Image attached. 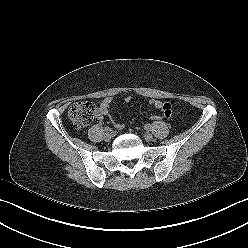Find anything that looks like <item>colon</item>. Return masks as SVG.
<instances>
[{
  "mask_svg": "<svg viewBox=\"0 0 248 248\" xmlns=\"http://www.w3.org/2000/svg\"><path fill=\"white\" fill-rule=\"evenodd\" d=\"M95 106L91 101H79L73 103L68 109V116L76 129H82L89 125L94 117ZM160 115H152L150 120L160 121Z\"/></svg>",
  "mask_w": 248,
  "mask_h": 248,
  "instance_id": "5ec220e1",
  "label": "colon"
}]
</instances>
